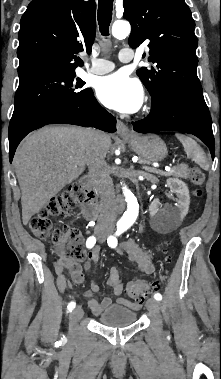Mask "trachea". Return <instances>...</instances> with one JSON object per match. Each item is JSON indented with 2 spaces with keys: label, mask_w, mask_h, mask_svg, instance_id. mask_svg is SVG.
Masks as SVG:
<instances>
[{
  "label": "trachea",
  "mask_w": 221,
  "mask_h": 379,
  "mask_svg": "<svg viewBox=\"0 0 221 379\" xmlns=\"http://www.w3.org/2000/svg\"><path fill=\"white\" fill-rule=\"evenodd\" d=\"M98 24L103 36L109 35V25L112 20L113 0H98Z\"/></svg>",
  "instance_id": "obj_1"
}]
</instances>
